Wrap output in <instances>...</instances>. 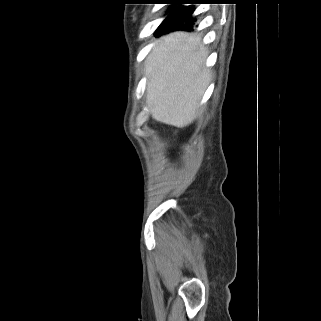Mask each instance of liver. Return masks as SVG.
Masks as SVG:
<instances>
[{
	"mask_svg": "<svg viewBox=\"0 0 321 321\" xmlns=\"http://www.w3.org/2000/svg\"><path fill=\"white\" fill-rule=\"evenodd\" d=\"M200 41L199 35L173 32L163 36L148 55L147 104L155 120L184 127L195 117L210 81L204 69L208 51Z\"/></svg>",
	"mask_w": 321,
	"mask_h": 321,
	"instance_id": "liver-1",
	"label": "liver"
}]
</instances>
